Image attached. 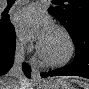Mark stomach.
<instances>
[{"label": "stomach", "instance_id": "obj_1", "mask_svg": "<svg viewBox=\"0 0 89 89\" xmlns=\"http://www.w3.org/2000/svg\"><path fill=\"white\" fill-rule=\"evenodd\" d=\"M39 89H75V88L67 81L58 82L57 80H54L49 81L46 84L40 85Z\"/></svg>", "mask_w": 89, "mask_h": 89}]
</instances>
